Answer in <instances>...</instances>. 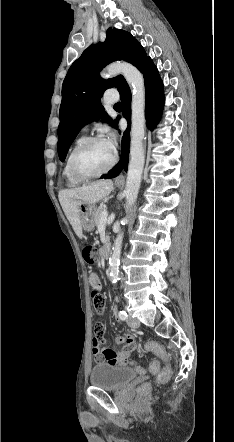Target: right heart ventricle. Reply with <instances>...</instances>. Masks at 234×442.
I'll return each instance as SVG.
<instances>
[{
    "label": "right heart ventricle",
    "mask_w": 234,
    "mask_h": 442,
    "mask_svg": "<svg viewBox=\"0 0 234 442\" xmlns=\"http://www.w3.org/2000/svg\"><path fill=\"white\" fill-rule=\"evenodd\" d=\"M84 139H86V137L84 136V135H80L79 137H77L76 138V140L73 142V144H72V146H71V148H70V150H69V152H68V154H67V157H66V160H65V164H64V169H63V175H64V177L66 178V181H67V183L70 185V186H77V185H79V184H81L83 181L82 180H79V179H77L76 177H74V175L72 174V172H71V170H70V167H69V160H70V156H71V154H72V152H73V150L84 140Z\"/></svg>",
    "instance_id": "obj_1"
}]
</instances>
